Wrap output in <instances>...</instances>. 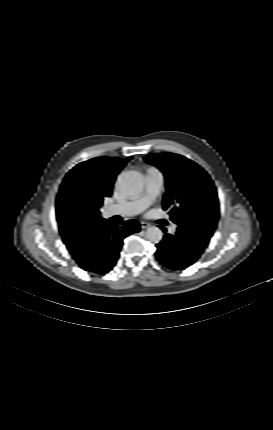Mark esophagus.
<instances>
[{
	"instance_id": "34e87169",
	"label": "esophagus",
	"mask_w": 273,
	"mask_h": 430,
	"mask_svg": "<svg viewBox=\"0 0 273 430\" xmlns=\"http://www.w3.org/2000/svg\"><path fill=\"white\" fill-rule=\"evenodd\" d=\"M150 225H151V224H150V223H148V222H144V221H143V222H141V228H142V229H146V228L150 227Z\"/></svg>"
}]
</instances>
